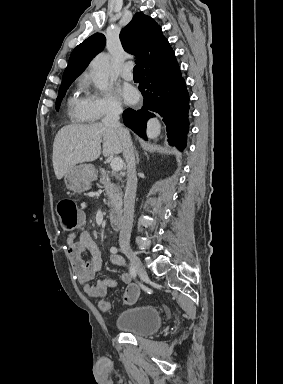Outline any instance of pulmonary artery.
I'll return each instance as SVG.
<instances>
[{
  "label": "pulmonary artery",
  "mask_w": 283,
  "mask_h": 384,
  "mask_svg": "<svg viewBox=\"0 0 283 384\" xmlns=\"http://www.w3.org/2000/svg\"><path fill=\"white\" fill-rule=\"evenodd\" d=\"M133 64L132 62H127L123 66L121 70V76L125 80H132L133 79V72H132Z\"/></svg>",
  "instance_id": "1"
}]
</instances>
